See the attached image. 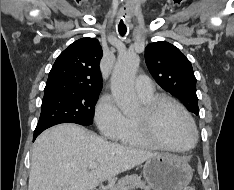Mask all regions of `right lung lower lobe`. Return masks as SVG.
<instances>
[{"label": "right lung lower lobe", "mask_w": 234, "mask_h": 190, "mask_svg": "<svg viewBox=\"0 0 234 190\" xmlns=\"http://www.w3.org/2000/svg\"><path fill=\"white\" fill-rule=\"evenodd\" d=\"M41 132H34V139L33 141L35 140V138L40 134Z\"/></svg>", "instance_id": "right-lung-lower-lobe-1"}]
</instances>
